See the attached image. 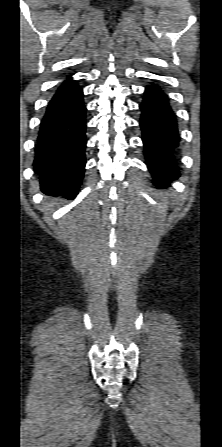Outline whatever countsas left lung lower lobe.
Instances as JSON below:
<instances>
[{"label": "left lung lower lobe", "mask_w": 222, "mask_h": 447, "mask_svg": "<svg viewBox=\"0 0 222 447\" xmlns=\"http://www.w3.org/2000/svg\"><path fill=\"white\" fill-rule=\"evenodd\" d=\"M140 126L148 169L157 186H167L180 175L173 155L179 137L175 114L167 96L156 84L146 87L139 105Z\"/></svg>", "instance_id": "left-lung-lower-lobe-1"}]
</instances>
